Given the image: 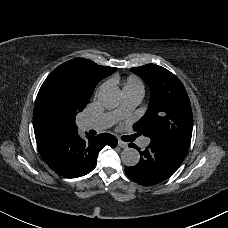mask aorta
<instances>
[{
    "mask_svg": "<svg viewBox=\"0 0 228 228\" xmlns=\"http://www.w3.org/2000/svg\"><path fill=\"white\" fill-rule=\"evenodd\" d=\"M98 100L105 108L113 109L119 106L121 94L117 87L106 86L99 91ZM121 160L128 167L135 166L140 160V154L134 148H125Z\"/></svg>",
    "mask_w": 228,
    "mask_h": 228,
    "instance_id": "762f6f07",
    "label": "aorta"
}]
</instances>
